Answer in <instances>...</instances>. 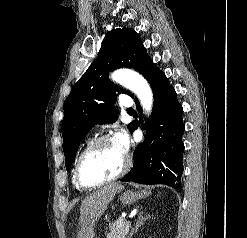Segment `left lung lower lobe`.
<instances>
[{"label": "left lung lower lobe", "mask_w": 247, "mask_h": 238, "mask_svg": "<svg viewBox=\"0 0 247 238\" xmlns=\"http://www.w3.org/2000/svg\"><path fill=\"white\" fill-rule=\"evenodd\" d=\"M147 81L154 94V108L149 124L146 125L148 134L134 151L133 168L121 181L165 184L180 190L184 152L182 134L185 130L183 108L174 88L157 67L149 74ZM134 101L141 111L138 99L135 98ZM136 128L134 123L131 132Z\"/></svg>", "instance_id": "1"}]
</instances>
